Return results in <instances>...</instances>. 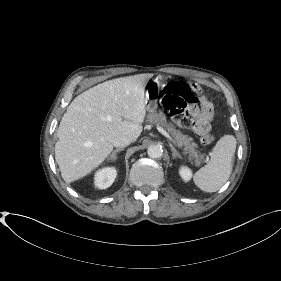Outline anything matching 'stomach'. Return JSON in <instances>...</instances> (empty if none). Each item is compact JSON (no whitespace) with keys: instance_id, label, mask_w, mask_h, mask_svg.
Listing matches in <instances>:
<instances>
[{"instance_id":"obj_1","label":"stomach","mask_w":281,"mask_h":281,"mask_svg":"<svg viewBox=\"0 0 281 281\" xmlns=\"http://www.w3.org/2000/svg\"><path fill=\"white\" fill-rule=\"evenodd\" d=\"M161 85L162 81L160 79H155L152 81L147 90L144 103L146 110L149 112H154L157 109V96L159 94Z\"/></svg>"}]
</instances>
